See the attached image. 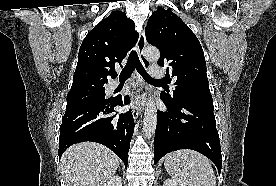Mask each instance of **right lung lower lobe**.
Masks as SVG:
<instances>
[{"label":"right lung lower lobe","instance_id":"1","mask_svg":"<svg viewBox=\"0 0 276 186\" xmlns=\"http://www.w3.org/2000/svg\"><path fill=\"white\" fill-rule=\"evenodd\" d=\"M130 98H111L103 104L66 109L60 126L59 158L71 145L84 141L103 144L116 153L127 167L128 151L134 131L132 112L117 116L115 106L128 104Z\"/></svg>","mask_w":276,"mask_h":186}]
</instances>
